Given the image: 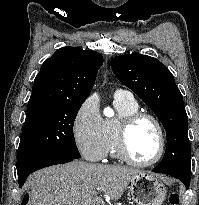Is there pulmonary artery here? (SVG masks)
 Masks as SVG:
<instances>
[{"label": "pulmonary artery", "mask_w": 199, "mask_h": 205, "mask_svg": "<svg viewBox=\"0 0 199 205\" xmlns=\"http://www.w3.org/2000/svg\"><path fill=\"white\" fill-rule=\"evenodd\" d=\"M116 94H124V95H127V96H131V94H130L128 91H126V90H121V89H118V90L116 91Z\"/></svg>", "instance_id": "obj_1"}]
</instances>
